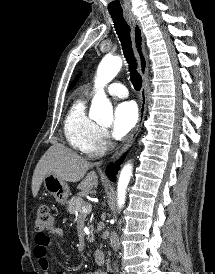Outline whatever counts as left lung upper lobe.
Returning a JSON list of instances; mask_svg holds the SVG:
<instances>
[{"instance_id":"left-lung-upper-lobe-1","label":"left lung upper lobe","mask_w":215,"mask_h":274,"mask_svg":"<svg viewBox=\"0 0 215 274\" xmlns=\"http://www.w3.org/2000/svg\"><path fill=\"white\" fill-rule=\"evenodd\" d=\"M78 77H79V76H78ZM74 82H75V80H74ZM74 82L71 83L69 90L74 86V84H75Z\"/></svg>"}]
</instances>
